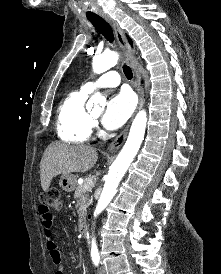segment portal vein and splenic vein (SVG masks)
I'll list each match as a JSON object with an SVG mask.
<instances>
[{"instance_id":"obj_1","label":"portal vein and splenic vein","mask_w":221,"mask_h":274,"mask_svg":"<svg viewBox=\"0 0 221 274\" xmlns=\"http://www.w3.org/2000/svg\"><path fill=\"white\" fill-rule=\"evenodd\" d=\"M93 186V180L91 178L86 179L85 188L90 189Z\"/></svg>"}]
</instances>
